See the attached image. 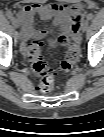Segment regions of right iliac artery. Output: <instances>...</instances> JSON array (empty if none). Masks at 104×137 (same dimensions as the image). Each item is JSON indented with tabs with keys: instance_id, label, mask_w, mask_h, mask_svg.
I'll return each mask as SVG.
<instances>
[{
	"instance_id": "82829eb1",
	"label": "right iliac artery",
	"mask_w": 104,
	"mask_h": 137,
	"mask_svg": "<svg viewBox=\"0 0 104 137\" xmlns=\"http://www.w3.org/2000/svg\"><path fill=\"white\" fill-rule=\"evenodd\" d=\"M6 16H7L9 19H12L13 14H12L11 11L8 10V11L6 12Z\"/></svg>"
}]
</instances>
